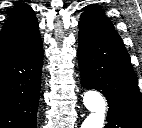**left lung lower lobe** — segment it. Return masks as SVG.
Returning a JSON list of instances; mask_svg holds the SVG:
<instances>
[{
	"instance_id": "left-lung-lower-lobe-1",
	"label": "left lung lower lobe",
	"mask_w": 142,
	"mask_h": 128,
	"mask_svg": "<svg viewBox=\"0 0 142 128\" xmlns=\"http://www.w3.org/2000/svg\"><path fill=\"white\" fill-rule=\"evenodd\" d=\"M78 40L82 86L98 90L108 100L105 128H142V96L122 40L83 23Z\"/></svg>"
}]
</instances>
